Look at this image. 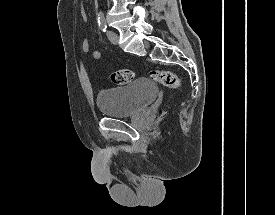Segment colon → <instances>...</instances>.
Returning a JSON list of instances; mask_svg holds the SVG:
<instances>
[{
	"label": "colon",
	"mask_w": 275,
	"mask_h": 215,
	"mask_svg": "<svg viewBox=\"0 0 275 215\" xmlns=\"http://www.w3.org/2000/svg\"><path fill=\"white\" fill-rule=\"evenodd\" d=\"M134 72L131 70H117L111 74V80L115 85H125L134 79ZM150 76L156 82L168 87L178 88L180 86V79L178 76L168 70H152Z\"/></svg>",
	"instance_id": "5ec220e1"
}]
</instances>
